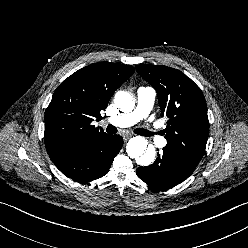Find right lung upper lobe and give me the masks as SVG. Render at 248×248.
<instances>
[{
    "instance_id": "cb5924a9",
    "label": "right lung upper lobe",
    "mask_w": 248,
    "mask_h": 248,
    "mask_svg": "<svg viewBox=\"0 0 248 248\" xmlns=\"http://www.w3.org/2000/svg\"><path fill=\"white\" fill-rule=\"evenodd\" d=\"M134 73L130 65L100 62L69 76L56 89L45 113V146L50 158L105 134L91 125L112 94Z\"/></svg>"
}]
</instances>
